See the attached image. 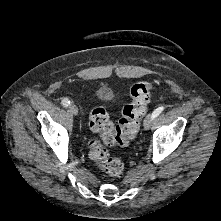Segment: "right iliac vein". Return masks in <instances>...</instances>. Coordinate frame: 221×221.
Here are the masks:
<instances>
[{"mask_svg":"<svg viewBox=\"0 0 221 221\" xmlns=\"http://www.w3.org/2000/svg\"><path fill=\"white\" fill-rule=\"evenodd\" d=\"M69 110L73 115L78 114V107L75 104H71L70 107H69Z\"/></svg>","mask_w":221,"mask_h":221,"instance_id":"right-iliac-vein-1","label":"right iliac vein"}]
</instances>
